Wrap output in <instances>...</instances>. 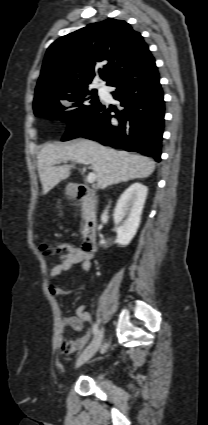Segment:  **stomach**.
<instances>
[{
    "label": "stomach",
    "mask_w": 208,
    "mask_h": 425,
    "mask_svg": "<svg viewBox=\"0 0 208 425\" xmlns=\"http://www.w3.org/2000/svg\"><path fill=\"white\" fill-rule=\"evenodd\" d=\"M67 190H68V192H69L70 194H73V191L71 190V187H68V188H67Z\"/></svg>",
    "instance_id": "obj_1"
}]
</instances>
